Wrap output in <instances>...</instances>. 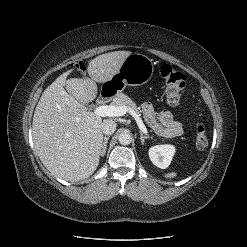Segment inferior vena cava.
Returning <instances> with one entry per match:
<instances>
[{
	"label": "inferior vena cava",
	"instance_id": "obj_1",
	"mask_svg": "<svg viewBox=\"0 0 247 247\" xmlns=\"http://www.w3.org/2000/svg\"><path fill=\"white\" fill-rule=\"evenodd\" d=\"M116 130V123L113 120L107 119L102 123V132L105 135H111Z\"/></svg>",
	"mask_w": 247,
	"mask_h": 247
}]
</instances>
